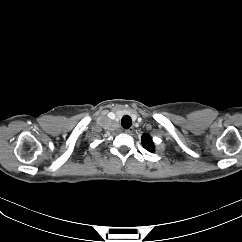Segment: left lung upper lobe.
<instances>
[{
  "label": "left lung upper lobe",
  "instance_id": "left-lung-upper-lobe-1",
  "mask_svg": "<svg viewBox=\"0 0 242 242\" xmlns=\"http://www.w3.org/2000/svg\"><path fill=\"white\" fill-rule=\"evenodd\" d=\"M142 144L145 149L150 152H154V143L152 142V138L148 134L142 136Z\"/></svg>",
  "mask_w": 242,
  "mask_h": 242
}]
</instances>
